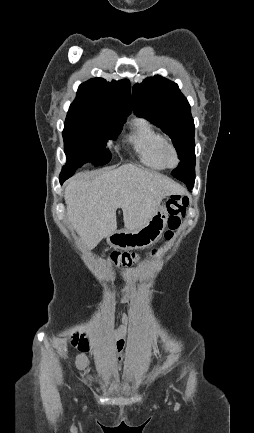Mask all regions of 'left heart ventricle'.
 Segmentation results:
<instances>
[{"instance_id": "left-heart-ventricle-1", "label": "left heart ventricle", "mask_w": 254, "mask_h": 433, "mask_svg": "<svg viewBox=\"0 0 254 433\" xmlns=\"http://www.w3.org/2000/svg\"><path fill=\"white\" fill-rule=\"evenodd\" d=\"M166 158H167V161L170 164H174L175 163V157H174L173 153L170 150L166 151Z\"/></svg>"}]
</instances>
